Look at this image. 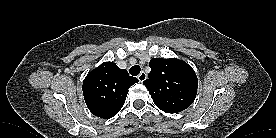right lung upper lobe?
<instances>
[{
  "label": "right lung upper lobe",
  "instance_id": "cb5924a9",
  "mask_svg": "<svg viewBox=\"0 0 276 138\" xmlns=\"http://www.w3.org/2000/svg\"><path fill=\"white\" fill-rule=\"evenodd\" d=\"M138 82L113 62H104L84 79L85 102L97 117L109 119L115 116L125 103L128 89Z\"/></svg>",
  "mask_w": 276,
  "mask_h": 138
}]
</instances>
